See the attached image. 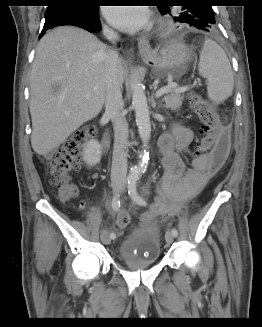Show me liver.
<instances>
[{
    "mask_svg": "<svg viewBox=\"0 0 262 327\" xmlns=\"http://www.w3.org/2000/svg\"><path fill=\"white\" fill-rule=\"evenodd\" d=\"M110 50L96 36L75 27L47 33L37 47L30 77L31 145L44 157L82 124L96 117L106 100V58ZM119 79L124 69L119 61Z\"/></svg>",
    "mask_w": 262,
    "mask_h": 327,
    "instance_id": "6515ba94",
    "label": "liver"
}]
</instances>
